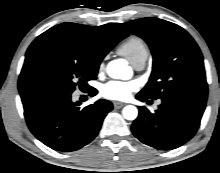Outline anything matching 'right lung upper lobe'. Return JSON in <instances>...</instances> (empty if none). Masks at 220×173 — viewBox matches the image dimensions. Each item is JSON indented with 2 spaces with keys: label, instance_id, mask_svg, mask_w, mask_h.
<instances>
[{
  "label": "right lung upper lobe",
  "instance_id": "right-lung-upper-lobe-1",
  "mask_svg": "<svg viewBox=\"0 0 220 173\" xmlns=\"http://www.w3.org/2000/svg\"><path fill=\"white\" fill-rule=\"evenodd\" d=\"M128 33L115 23L86 26L62 23L39 35L28 48L19 76V92L37 89L36 71L41 61L55 48L62 46L84 59L100 64L106 54Z\"/></svg>",
  "mask_w": 220,
  "mask_h": 173
}]
</instances>
